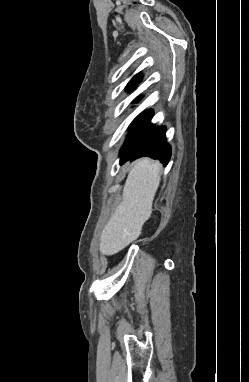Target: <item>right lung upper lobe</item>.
<instances>
[{"label":"right lung upper lobe","instance_id":"1","mask_svg":"<svg viewBox=\"0 0 249 382\" xmlns=\"http://www.w3.org/2000/svg\"><path fill=\"white\" fill-rule=\"evenodd\" d=\"M141 79H142V75L139 73V74H137V75H135L131 80H130V82L128 83V85H127V89L128 90H132V89H134L136 86H137V84L141 81Z\"/></svg>","mask_w":249,"mask_h":382}]
</instances>
